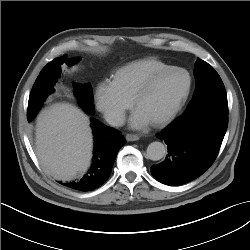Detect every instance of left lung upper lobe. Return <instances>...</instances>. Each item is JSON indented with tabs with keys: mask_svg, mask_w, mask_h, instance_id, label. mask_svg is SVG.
Returning <instances> with one entry per match:
<instances>
[{
	"mask_svg": "<svg viewBox=\"0 0 250 250\" xmlns=\"http://www.w3.org/2000/svg\"><path fill=\"white\" fill-rule=\"evenodd\" d=\"M194 76L196 79V88L193 99L188 107L194 105L210 93L225 89L218 73L201 59H198L195 63Z\"/></svg>",
	"mask_w": 250,
	"mask_h": 250,
	"instance_id": "left-lung-upper-lobe-1",
	"label": "left lung upper lobe"
}]
</instances>
